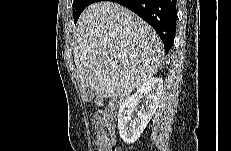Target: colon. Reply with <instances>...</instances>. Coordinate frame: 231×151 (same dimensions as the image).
Masks as SVG:
<instances>
[{
    "mask_svg": "<svg viewBox=\"0 0 231 151\" xmlns=\"http://www.w3.org/2000/svg\"><path fill=\"white\" fill-rule=\"evenodd\" d=\"M96 127L98 138L106 143L112 144L114 141L113 126L110 121V115L104 111H99L96 115ZM109 151H120L118 148L111 146Z\"/></svg>",
    "mask_w": 231,
    "mask_h": 151,
    "instance_id": "obj_1",
    "label": "colon"
}]
</instances>
